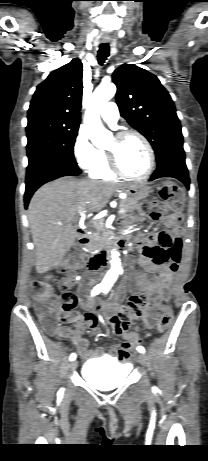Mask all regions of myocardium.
<instances>
[{"mask_svg":"<svg viewBox=\"0 0 208 461\" xmlns=\"http://www.w3.org/2000/svg\"><path fill=\"white\" fill-rule=\"evenodd\" d=\"M131 136L137 137L144 144V146H145V148H146V150L148 152L149 165H148V168H147L146 172L141 176H132V175H129V174L125 173L122 170V168L120 167V165H119V163L117 161L115 151H110V150H106V152H105L106 156H107V160H108V165H109L111 171L116 176H119V177H122V178H125V179H128V180L143 181V180L148 179L151 176V174L153 173V171H154V168H155V153H154L153 147H152L151 143L149 142V140L142 133H140V132H138L136 130H124V131H121V132L117 133L114 138L116 139V141L121 142V141H123L126 138L131 137Z\"/></svg>","mask_w":208,"mask_h":461,"instance_id":"1","label":"myocardium"}]
</instances>
